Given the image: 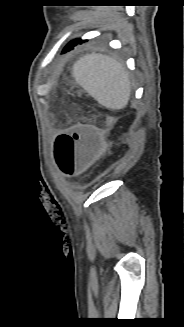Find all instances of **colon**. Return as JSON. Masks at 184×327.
<instances>
[{
	"label": "colon",
	"mask_w": 184,
	"mask_h": 327,
	"mask_svg": "<svg viewBox=\"0 0 184 327\" xmlns=\"http://www.w3.org/2000/svg\"><path fill=\"white\" fill-rule=\"evenodd\" d=\"M109 151L107 142L90 125L79 124L59 135L54 143V158L62 172L69 176L87 170L105 157Z\"/></svg>",
	"instance_id": "1"
}]
</instances>
